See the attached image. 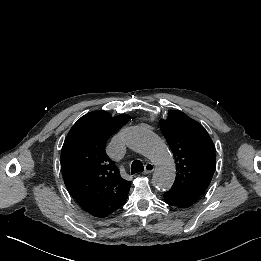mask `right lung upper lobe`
Listing matches in <instances>:
<instances>
[{"instance_id": "cb5924a9", "label": "right lung upper lobe", "mask_w": 261, "mask_h": 261, "mask_svg": "<svg viewBox=\"0 0 261 261\" xmlns=\"http://www.w3.org/2000/svg\"><path fill=\"white\" fill-rule=\"evenodd\" d=\"M129 120L121 114L111 117L94 111L81 117L71 128L61 150L64 183L79 205L95 217H106L127 200L130 181L108 158V138Z\"/></svg>"}]
</instances>
